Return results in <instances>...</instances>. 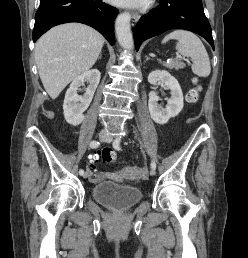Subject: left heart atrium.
<instances>
[{"instance_id": "left-heart-atrium-1", "label": "left heart atrium", "mask_w": 248, "mask_h": 258, "mask_svg": "<svg viewBox=\"0 0 248 258\" xmlns=\"http://www.w3.org/2000/svg\"><path fill=\"white\" fill-rule=\"evenodd\" d=\"M115 5L126 7H137L144 4L145 0H109Z\"/></svg>"}]
</instances>
